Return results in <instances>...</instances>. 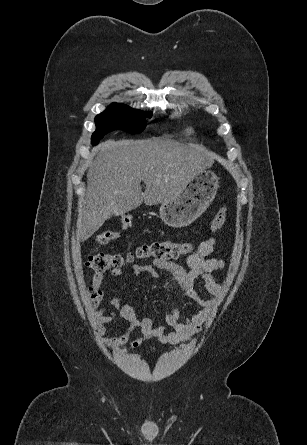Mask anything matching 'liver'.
<instances>
[{"instance_id": "6515ba94", "label": "liver", "mask_w": 307, "mask_h": 445, "mask_svg": "<svg viewBox=\"0 0 307 445\" xmlns=\"http://www.w3.org/2000/svg\"><path fill=\"white\" fill-rule=\"evenodd\" d=\"M77 220L78 241L90 239L109 214L176 198L193 174L212 166L214 154L172 138L106 140L95 146ZM141 180L146 188L141 190Z\"/></svg>"}]
</instances>
